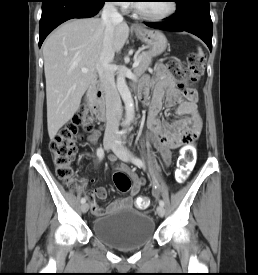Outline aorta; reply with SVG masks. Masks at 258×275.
<instances>
[{
	"label": "aorta",
	"mask_w": 258,
	"mask_h": 275,
	"mask_svg": "<svg viewBox=\"0 0 258 275\" xmlns=\"http://www.w3.org/2000/svg\"><path fill=\"white\" fill-rule=\"evenodd\" d=\"M117 89L124 101L126 110L125 125H130L134 114V102L130 93V90L126 84L125 75L123 71H120L117 75Z\"/></svg>",
	"instance_id": "762f6f07"
}]
</instances>
